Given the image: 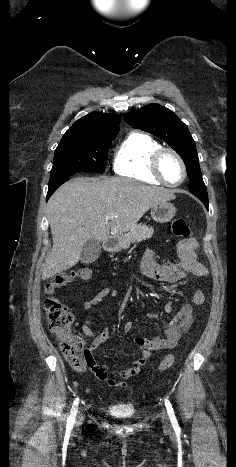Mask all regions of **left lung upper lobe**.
I'll list each match as a JSON object with an SVG mask.
<instances>
[{
  "label": "left lung upper lobe",
  "instance_id": "1",
  "mask_svg": "<svg viewBox=\"0 0 236 467\" xmlns=\"http://www.w3.org/2000/svg\"><path fill=\"white\" fill-rule=\"evenodd\" d=\"M124 120L135 129L152 133L168 143L183 159L190 179V192H207L202 179L195 142L187 126L169 109L150 104Z\"/></svg>",
  "mask_w": 236,
  "mask_h": 467
}]
</instances>
